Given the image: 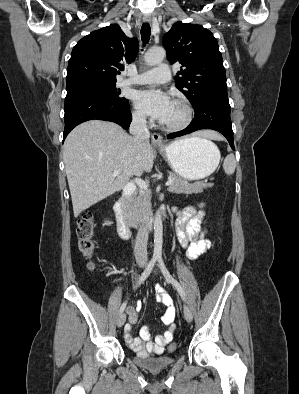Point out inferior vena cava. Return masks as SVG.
<instances>
[{"label": "inferior vena cava", "instance_id": "1", "mask_svg": "<svg viewBox=\"0 0 299 394\" xmlns=\"http://www.w3.org/2000/svg\"><path fill=\"white\" fill-rule=\"evenodd\" d=\"M130 134L136 141L139 148H142L149 142L150 133L147 129L146 118L141 115H133L130 125ZM148 231L144 223L140 225L134 247V255L137 263L145 264L147 257Z\"/></svg>", "mask_w": 299, "mask_h": 394}]
</instances>
